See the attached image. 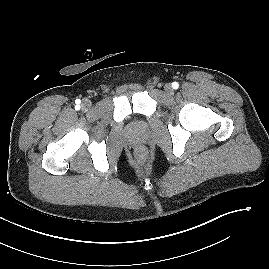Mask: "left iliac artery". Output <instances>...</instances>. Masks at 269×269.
<instances>
[{"mask_svg":"<svg viewBox=\"0 0 269 269\" xmlns=\"http://www.w3.org/2000/svg\"><path fill=\"white\" fill-rule=\"evenodd\" d=\"M172 87H173L174 89H178L179 84H178L177 82H173V83H172Z\"/></svg>","mask_w":269,"mask_h":269,"instance_id":"obj_1","label":"left iliac artery"}]
</instances>
